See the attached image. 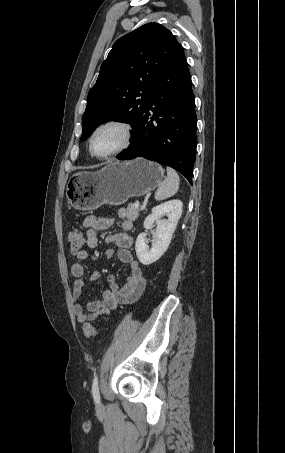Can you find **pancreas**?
Instances as JSON below:
<instances>
[{
    "label": "pancreas",
    "mask_w": 285,
    "mask_h": 453,
    "mask_svg": "<svg viewBox=\"0 0 285 453\" xmlns=\"http://www.w3.org/2000/svg\"><path fill=\"white\" fill-rule=\"evenodd\" d=\"M139 208H135L134 204H129L126 209L121 208L118 211V214L123 219H128L129 221H134L139 216Z\"/></svg>",
    "instance_id": "cf45deb5"
}]
</instances>
